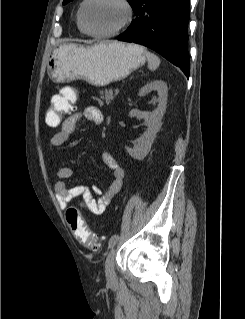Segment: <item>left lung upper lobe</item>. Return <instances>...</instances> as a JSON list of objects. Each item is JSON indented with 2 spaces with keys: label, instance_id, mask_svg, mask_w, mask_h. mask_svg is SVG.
I'll return each mask as SVG.
<instances>
[{
  "label": "left lung upper lobe",
  "instance_id": "5c2ea615",
  "mask_svg": "<svg viewBox=\"0 0 245 319\" xmlns=\"http://www.w3.org/2000/svg\"><path fill=\"white\" fill-rule=\"evenodd\" d=\"M70 1H72V0H64L63 4H67V3H69ZM127 1L130 3L132 9L134 10V8H135V6H136V4H137V2H138L139 0H127Z\"/></svg>",
  "mask_w": 245,
  "mask_h": 319
}]
</instances>
